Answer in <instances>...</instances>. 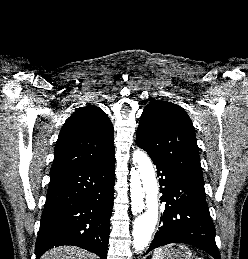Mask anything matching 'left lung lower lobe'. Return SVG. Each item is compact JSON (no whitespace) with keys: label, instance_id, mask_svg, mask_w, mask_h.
<instances>
[{"label":"left lung lower lobe","instance_id":"obj_1","mask_svg":"<svg viewBox=\"0 0 248 259\" xmlns=\"http://www.w3.org/2000/svg\"><path fill=\"white\" fill-rule=\"evenodd\" d=\"M148 154L157 166V175L161 177L159 185L163 195L160 200L166 204L161 227L146 253L166 244L185 243L220 259L204 186L189 182L170 165Z\"/></svg>","mask_w":248,"mask_h":259}]
</instances>
